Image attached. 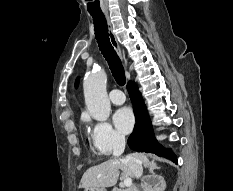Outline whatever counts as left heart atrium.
Wrapping results in <instances>:
<instances>
[{"instance_id": "39dd6f15", "label": "left heart atrium", "mask_w": 233, "mask_h": 191, "mask_svg": "<svg viewBox=\"0 0 233 191\" xmlns=\"http://www.w3.org/2000/svg\"><path fill=\"white\" fill-rule=\"evenodd\" d=\"M113 122L120 133L127 134L133 129L135 119L130 108L122 107L115 112Z\"/></svg>"}]
</instances>
